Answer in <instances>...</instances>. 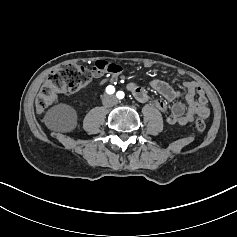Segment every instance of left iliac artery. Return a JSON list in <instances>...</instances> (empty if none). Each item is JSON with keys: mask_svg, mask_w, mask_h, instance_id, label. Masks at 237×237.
<instances>
[{"mask_svg": "<svg viewBox=\"0 0 237 237\" xmlns=\"http://www.w3.org/2000/svg\"><path fill=\"white\" fill-rule=\"evenodd\" d=\"M116 95L119 99L124 98V92L123 91H118Z\"/></svg>", "mask_w": 237, "mask_h": 237, "instance_id": "1", "label": "left iliac artery"}]
</instances>
